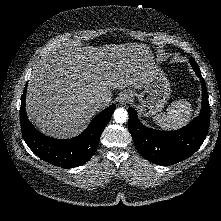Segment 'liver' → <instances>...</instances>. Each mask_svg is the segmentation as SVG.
Masks as SVG:
<instances>
[{
  "instance_id": "1",
  "label": "liver",
  "mask_w": 221,
  "mask_h": 221,
  "mask_svg": "<svg viewBox=\"0 0 221 221\" xmlns=\"http://www.w3.org/2000/svg\"><path fill=\"white\" fill-rule=\"evenodd\" d=\"M157 69L145 44L68 47L49 55L31 74L26 94L28 118L44 134H79L98 110L95 101L112 90L141 89ZM104 107V106H103Z\"/></svg>"
}]
</instances>
